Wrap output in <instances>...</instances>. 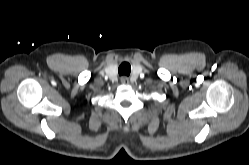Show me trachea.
<instances>
[{
    "mask_svg": "<svg viewBox=\"0 0 249 165\" xmlns=\"http://www.w3.org/2000/svg\"><path fill=\"white\" fill-rule=\"evenodd\" d=\"M130 71H131V67L128 63H122L118 69L119 75H127L128 76L130 74Z\"/></svg>",
    "mask_w": 249,
    "mask_h": 165,
    "instance_id": "3493384b",
    "label": "trachea"
}]
</instances>
